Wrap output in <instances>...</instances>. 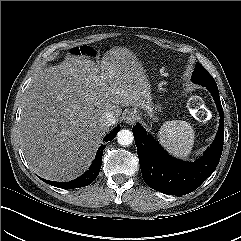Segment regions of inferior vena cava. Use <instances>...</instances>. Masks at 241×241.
Listing matches in <instances>:
<instances>
[{
  "label": "inferior vena cava",
  "mask_w": 241,
  "mask_h": 241,
  "mask_svg": "<svg viewBox=\"0 0 241 241\" xmlns=\"http://www.w3.org/2000/svg\"><path fill=\"white\" fill-rule=\"evenodd\" d=\"M100 123L104 127H109L116 123V118L111 112H106L100 119Z\"/></svg>",
  "instance_id": "1"
}]
</instances>
